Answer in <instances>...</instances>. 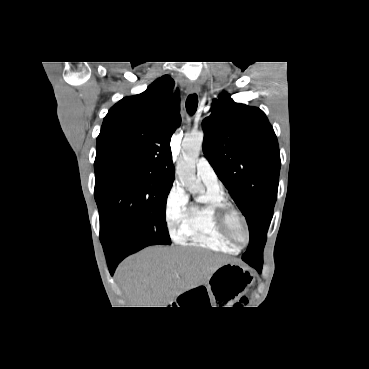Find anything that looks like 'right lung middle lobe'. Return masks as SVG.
Returning <instances> with one entry per match:
<instances>
[{
    "label": "right lung middle lobe",
    "mask_w": 369,
    "mask_h": 369,
    "mask_svg": "<svg viewBox=\"0 0 369 369\" xmlns=\"http://www.w3.org/2000/svg\"><path fill=\"white\" fill-rule=\"evenodd\" d=\"M172 183L137 170L95 168L102 245L116 238L170 245L165 210Z\"/></svg>",
    "instance_id": "right-lung-middle-lobe-1"
}]
</instances>
